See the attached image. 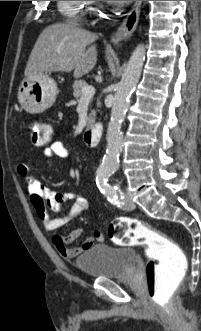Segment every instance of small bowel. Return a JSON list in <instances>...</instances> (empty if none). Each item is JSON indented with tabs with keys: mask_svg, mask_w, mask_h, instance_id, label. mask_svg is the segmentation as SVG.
Returning a JSON list of instances; mask_svg holds the SVG:
<instances>
[{
	"mask_svg": "<svg viewBox=\"0 0 201 331\" xmlns=\"http://www.w3.org/2000/svg\"><path fill=\"white\" fill-rule=\"evenodd\" d=\"M43 154L48 158H68L70 156L68 148L61 141H53L44 149ZM17 171L27 184L30 201L45 229L55 231L82 215L87 209V200L81 194L75 192H54L41 184L38 178L31 173L30 161H21ZM70 200L73 203L65 214L58 217H52L49 214L48 208L58 210L63 203ZM81 235L82 229L75 228L66 235L55 234L52 237V241L61 256L71 259L90 249L96 242L104 240L103 234L96 231L80 245L71 247L70 245Z\"/></svg>",
	"mask_w": 201,
	"mask_h": 331,
	"instance_id": "c3829d8e",
	"label": "small bowel"
}]
</instances>
